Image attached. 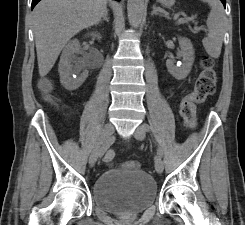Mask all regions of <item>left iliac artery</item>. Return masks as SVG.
I'll list each match as a JSON object with an SVG mask.
<instances>
[{"label":"left iliac artery","mask_w":245,"mask_h":225,"mask_svg":"<svg viewBox=\"0 0 245 225\" xmlns=\"http://www.w3.org/2000/svg\"><path fill=\"white\" fill-rule=\"evenodd\" d=\"M143 128H144V130H145L146 132H149V131L151 130V128H150V126H149L148 124H143ZM161 156H162V152H161V150L158 148L156 159H157V158H161Z\"/></svg>","instance_id":"1"}]
</instances>
